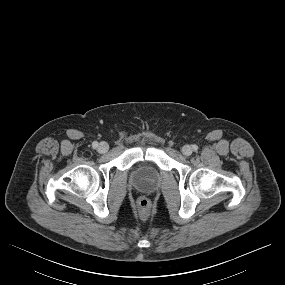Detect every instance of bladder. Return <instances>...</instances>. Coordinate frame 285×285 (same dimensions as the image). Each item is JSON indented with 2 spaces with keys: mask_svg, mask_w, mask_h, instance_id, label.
Returning a JSON list of instances; mask_svg holds the SVG:
<instances>
[{
  "mask_svg": "<svg viewBox=\"0 0 285 285\" xmlns=\"http://www.w3.org/2000/svg\"><path fill=\"white\" fill-rule=\"evenodd\" d=\"M132 182L143 189H152L159 182V171L153 166H142L132 173Z\"/></svg>",
  "mask_w": 285,
  "mask_h": 285,
  "instance_id": "31cf9c89",
  "label": "bladder"
}]
</instances>
